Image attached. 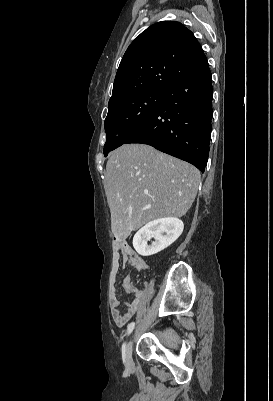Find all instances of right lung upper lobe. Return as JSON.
Returning a JSON list of instances; mask_svg holds the SVG:
<instances>
[{
    "label": "right lung upper lobe",
    "instance_id": "1",
    "mask_svg": "<svg viewBox=\"0 0 273 401\" xmlns=\"http://www.w3.org/2000/svg\"><path fill=\"white\" fill-rule=\"evenodd\" d=\"M207 65L201 45L189 29L179 22H158L128 47L109 103L142 91L165 92Z\"/></svg>",
    "mask_w": 273,
    "mask_h": 401
}]
</instances>
